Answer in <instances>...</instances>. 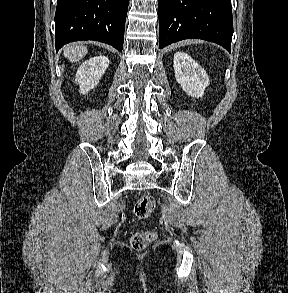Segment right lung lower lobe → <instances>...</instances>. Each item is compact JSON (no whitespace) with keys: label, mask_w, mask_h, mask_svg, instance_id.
I'll use <instances>...</instances> for the list:
<instances>
[{"label":"right lung lower lobe","mask_w":288,"mask_h":293,"mask_svg":"<svg viewBox=\"0 0 288 293\" xmlns=\"http://www.w3.org/2000/svg\"><path fill=\"white\" fill-rule=\"evenodd\" d=\"M129 0H58L56 50L78 40H94L123 49Z\"/></svg>","instance_id":"98d812e1"}]
</instances>
